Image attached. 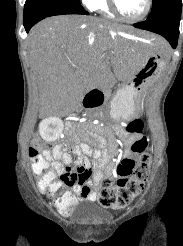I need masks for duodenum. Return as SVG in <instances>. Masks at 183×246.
Returning <instances> with one entry per match:
<instances>
[{"label": "duodenum", "mask_w": 183, "mask_h": 246, "mask_svg": "<svg viewBox=\"0 0 183 246\" xmlns=\"http://www.w3.org/2000/svg\"><path fill=\"white\" fill-rule=\"evenodd\" d=\"M105 98L104 92L98 88V87H93L91 88L85 95L83 99V109H92L95 107L100 106ZM74 116H81V111H74Z\"/></svg>", "instance_id": "1"}]
</instances>
